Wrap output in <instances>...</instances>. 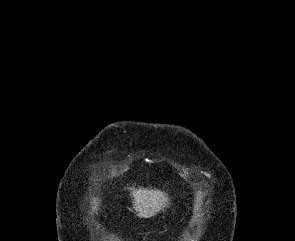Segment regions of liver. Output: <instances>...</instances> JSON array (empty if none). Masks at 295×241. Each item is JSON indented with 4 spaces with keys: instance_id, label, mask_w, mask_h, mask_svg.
<instances>
[{
    "instance_id": "liver-1",
    "label": "liver",
    "mask_w": 295,
    "mask_h": 241,
    "mask_svg": "<svg viewBox=\"0 0 295 241\" xmlns=\"http://www.w3.org/2000/svg\"><path fill=\"white\" fill-rule=\"evenodd\" d=\"M137 216L149 218L168 207V196L160 190L130 188Z\"/></svg>"
}]
</instances>
